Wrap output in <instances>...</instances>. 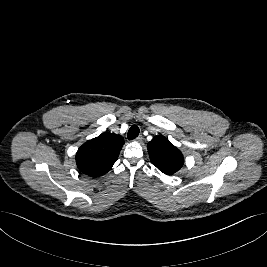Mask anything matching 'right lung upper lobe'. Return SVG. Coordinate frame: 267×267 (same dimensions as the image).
Returning <instances> with one entry per match:
<instances>
[{"label":"right lung upper lobe","mask_w":267,"mask_h":267,"mask_svg":"<svg viewBox=\"0 0 267 267\" xmlns=\"http://www.w3.org/2000/svg\"><path fill=\"white\" fill-rule=\"evenodd\" d=\"M123 145V138L110 132L85 142L76 153L78 169L91 177L106 174L116 162Z\"/></svg>","instance_id":"right-lung-upper-lobe-1"}]
</instances>
